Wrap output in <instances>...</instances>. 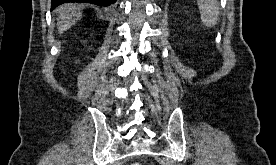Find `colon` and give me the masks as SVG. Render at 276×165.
<instances>
[{"label": "colon", "mask_w": 276, "mask_h": 165, "mask_svg": "<svg viewBox=\"0 0 276 165\" xmlns=\"http://www.w3.org/2000/svg\"><path fill=\"white\" fill-rule=\"evenodd\" d=\"M132 165H142L141 163H134V164H132Z\"/></svg>", "instance_id": "1"}]
</instances>
